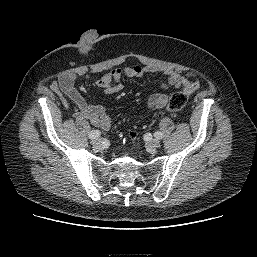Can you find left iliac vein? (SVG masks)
<instances>
[{
    "label": "left iliac vein",
    "instance_id": "4c4485c4",
    "mask_svg": "<svg viewBox=\"0 0 257 257\" xmlns=\"http://www.w3.org/2000/svg\"><path fill=\"white\" fill-rule=\"evenodd\" d=\"M147 146L152 151H155L156 149H158L160 147V142L157 139H152V140L148 141Z\"/></svg>",
    "mask_w": 257,
    "mask_h": 257
}]
</instances>
